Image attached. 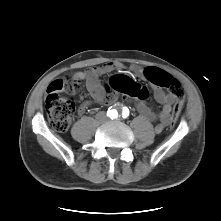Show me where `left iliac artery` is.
<instances>
[{"instance_id":"44dca946","label":"left iliac artery","mask_w":221,"mask_h":221,"mask_svg":"<svg viewBox=\"0 0 221 221\" xmlns=\"http://www.w3.org/2000/svg\"><path fill=\"white\" fill-rule=\"evenodd\" d=\"M128 115H129V110H128V108L124 107L122 110V117L126 118ZM115 118H117V117H115Z\"/></svg>"}]
</instances>
